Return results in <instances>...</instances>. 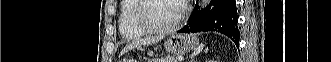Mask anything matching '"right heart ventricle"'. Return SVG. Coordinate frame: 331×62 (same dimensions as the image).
Listing matches in <instances>:
<instances>
[{"label": "right heart ventricle", "instance_id": "1", "mask_svg": "<svg viewBox=\"0 0 331 62\" xmlns=\"http://www.w3.org/2000/svg\"><path fill=\"white\" fill-rule=\"evenodd\" d=\"M137 3V0H123L120 4L119 31L127 40H136L146 34L134 21Z\"/></svg>", "mask_w": 331, "mask_h": 62}]
</instances>
